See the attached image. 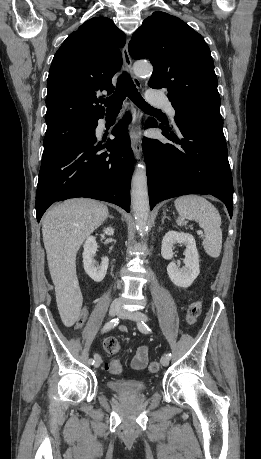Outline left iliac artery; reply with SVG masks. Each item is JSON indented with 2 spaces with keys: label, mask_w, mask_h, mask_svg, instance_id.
<instances>
[{
  "label": "left iliac artery",
  "mask_w": 261,
  "mask_h": 459,
  "mask_svg": "<svg viewBox=\"0 0 261 459\" xmlns=\"http://www.w3.org/2000/svg\"><path fill=\"white\" fill-rule=\"evenodd\" d=\"M137 325H138V329L142 333H149V331H151L150 328L148 327V325L146 323H144L143 321L139 322ZM166 356H168L170 358L171 357V353H167Z\"/></svg>",
  "instance_id": "obj_1"
}]
</instances>
